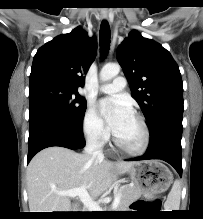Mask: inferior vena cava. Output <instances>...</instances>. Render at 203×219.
<instances>
[{
  "instance_id": "1",
  "label": "inferior vena cava",
  "mask_w": 203,
  "mask_h": 219,
  "mask_svg": "<svg viewBox=\"0 0 203 219\" xmlns=\"http://www.w3.org/2000/svg\"><path fill=\"white\" fill-rule=\"evenodd\" d=\"M84 152H85V154H88V155L92 156L93 158H97L99 160L104 159V155H103L101 146L95 144L93 142V140L88 141V143L86 144V146L84 148Z\"/></svg>"
}]
</instances>
